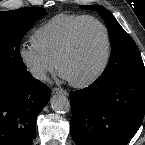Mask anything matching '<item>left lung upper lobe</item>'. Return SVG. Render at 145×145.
Here are the masks:
<instances>
[{
    "instance_id": "left-lung-upper-lobe-1",
    "label": "left lung upper lobe",
    "mask_w": 145,
    "mask_h": 145,
    "mask_svg": "<svg viewBox=\"0 0 145 145\" xmlns=\"http://www.w3.org/2000/svg\"><path fill=\"white\" fill-rule=\"evenodd\" d=\"M83 8L97 11L101 15L108 28L112 45L108 65L95 82L105 84L120 77L145 74V67L137 45L114 16L101 5H85Z\"/></svg>"
}]
</instances>
